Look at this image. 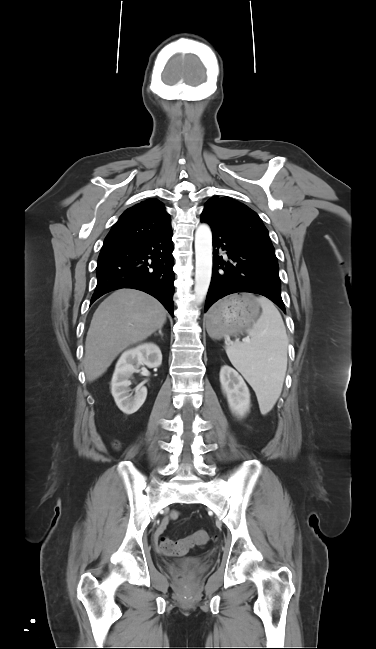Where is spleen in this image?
<instances>
[{
    "label": "spleen",
    "instance_id": "spleen-1",
    "mask_svg": "<svg viewBox=\"0 0 376 649\" xmlns=\"http://www.w3.org/2000/svg\"><path fill=\"white\" fill-rule=\"evenodd\" d=\"M262 314L248 334L249 342L226 343L233 366L252 385L262 414L278 400L287 369L288 338L281 314L264 297L257 298Z\"/></svg>",
    "mask_w": 376,
    "mask_h": 649
}]
</instances>
